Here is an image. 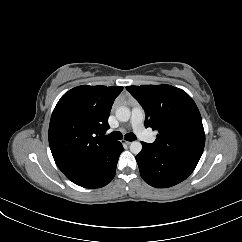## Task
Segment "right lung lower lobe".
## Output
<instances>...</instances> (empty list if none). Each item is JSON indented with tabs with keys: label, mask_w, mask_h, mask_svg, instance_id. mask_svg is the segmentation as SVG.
Instances as JSON below:
<instances>
[{
	"label": "right lung lower lobe",
	"mask_w": 242,
	"mask_h": 242,
	"mask_svg": "<svg viewBox=\"0 0 242 242\" xmlns=\"http://www.w3.org/2000/svg\"><path fill=\"white\" fill-rule=\"evenodd\" d=\"M123 150L122 144L115 141L93 153L65 175L73 183L85 188L103 187L113 179L119 156Z\"/></svg>",
	"instance_id": "1"
}]
</instances>
